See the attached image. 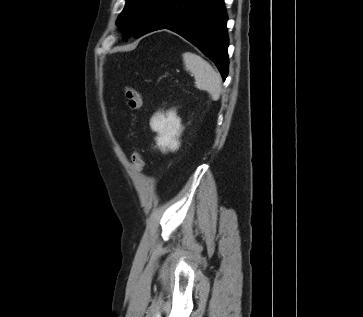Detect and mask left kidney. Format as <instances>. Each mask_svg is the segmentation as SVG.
<instances>
[{"label": "left kidney", "instance_id": "1", "mask_svg": "<svg viewBox=\"0 0 363 317\" xmlns=\"http://www.w3.org/2000/svg\"><path fill=\"white\" fill-rule=\"evenodd\" d=\"M153 130L159 133L157 145L161 150L166 148L175 151L179 148L178 136L181 132L180 119L174 111H169L166 116L157 114L151 121Z\"/></svg>", "mask_w": 363, "mask_h": 317}]
</instances>
